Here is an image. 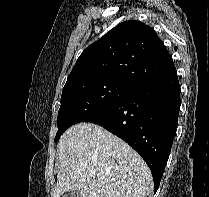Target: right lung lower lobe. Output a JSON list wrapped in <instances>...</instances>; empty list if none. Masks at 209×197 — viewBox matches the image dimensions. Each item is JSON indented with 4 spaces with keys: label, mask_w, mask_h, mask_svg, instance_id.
<instances>
[{
    "label": "right lung lower lobe",
    "mask_w": 209,
    "mask_h": 197,
    "mask_svg": "<svg viewBox=\"0 0 209 197\" xmlns=\"http://www.w3.org/2000/svg\"><path fill=\"white\" fill-rule=\"evenodd\" d=\"M180 103L174 67L84 122L104 127L135 149L152 172L156 192L171 151Z\"/></svg>",
    "instance_id": "obj_1"
}]
</instances>
